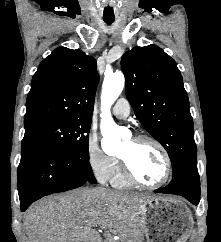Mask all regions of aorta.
<instances>
[{
	"label": "aorta",
	"mask_w": 221,
	"mask_h": 242,
	"mask_svg": "<svg viewBox=\"0 0 221 242\" xmlns=\"http://www.w3.org/2000/svg\"><path fill=\"white\" fill-rule=\"evenodd\" d=\"M125 84V78L122 72H116L106 75L104 78L101 93V133L102 148L106 153H115L121 147L122 131L113 121L110 109L121 94Z\"/></svg>",
	"instance_id": "obj_1"
}]
</instances>
